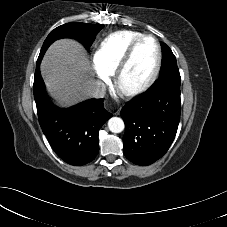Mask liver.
<instances>
[{"label": "liver", "mask_w": 227, "mask_h": 227, "mask_svg": "<svg viewBox=\"0 0 227 227\" xmlns=\"http://www.w3.org/2000/svg\"><path fill=\"white\" fill-rule=\"evenodd\" d=\"M40 71L47 90L63 106L90 96L95 82L84 47L71 39L58 40L48 48Z\"/></svg>", "instance_id": "6515ba94"}]
</instances>
